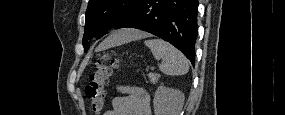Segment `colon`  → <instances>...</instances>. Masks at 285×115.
I'll use <instances>...</instances> for the list:
<instances>
[{
    "instance_id": "colon-1",
    "label": "colon",
    "mask_w": 285,
    "mask_h": 115,
    "mask_svg": "<svg viewBox=\"0 0 285 115\" xmlns=\"http://www.w3.org/2000/svg\"><path fill=\"white\" fill-rule=\"evenodd\" d=\"M118 66V60L111 59L108 62H99L95 71L90 75L85 93L95 114H100L105 106V87L114 68Z\"/></svg>"
}]
</instances>
